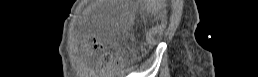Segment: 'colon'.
<instances>
[{
	"mask_svg": "<svg viewBox=\"0 0 258 77\" xmlns=\"http://www.w3.org/2000/svg\"><path fill=\"white\" fill-rule=\"evenodd\" d=\"M87 45L91 52L97 53L101 50L100 44L97 42V40L94 37L88 38ZM108 63H109V58H106L101 65L102 68L106 67Z\"/></svg>",
	"mask_w": 258,
	"mask_h": 77,
	"instance_id": "5ec220e1",
	"label": "colon"
}]
</instances>
